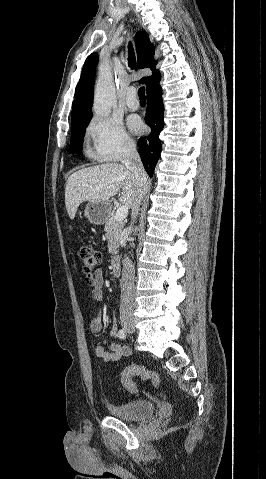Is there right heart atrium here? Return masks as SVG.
I'll list each match as a JSON object with an SVG mask.
<instances>
[{
  "label": "right heart atrium",
  "instance_id": "1",
  "mask_svg": "<svg viewBox=\"0 0 266 479\" xmlns=\"http://www.w3.org/2000/svg\"><path fill=\"white\" fill-rule=\"evenodd\" d=\"M92 158L112 162L120 161L134 151V142L118 120L96 116L86 129Z\"/></svg>",
  "mask_w": 266,
  "mask_h": 479
}]
</instances>
